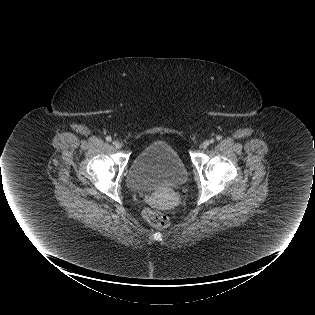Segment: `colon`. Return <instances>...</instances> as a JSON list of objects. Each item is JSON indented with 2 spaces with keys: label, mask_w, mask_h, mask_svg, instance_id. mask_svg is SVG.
<instances>
[{
  "label": "colon",
  "mask_w": 315,
  "mask_h": 315,
  "mask_svg": "<svg viewBox=\"0 0 315 315\" xmlns=\"http://www.w3.org/2000/svg\"><path fill=\"white\" fill-rule=\"evenodd\" d=\"M143 217L148 223L158 229H164L169 225V218L166 214L150 208L144 209Z\"/></svg>",
  "instance_id": "5ec220e1"
}]
</instances>
